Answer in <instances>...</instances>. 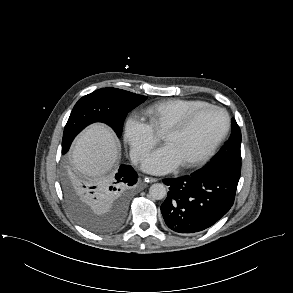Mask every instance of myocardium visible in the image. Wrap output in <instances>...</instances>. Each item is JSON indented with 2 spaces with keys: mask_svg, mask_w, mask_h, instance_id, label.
<instances>
[{
  "mask_svg": "<svg viewBox=\"0 0 293 293\" xmlns=\"http://www.w3.org/2000/svg\"><path fill=\"white\" fill-rule=\"evenodd\" d=\"M217 110L221 112L224 117H225V127L222 133L218 136V138L210 145V147L200 156L197 158L186 162L182 163L181 166L186 169L190 168H195L197 166L202 165L205 163L207 160H209L213 154L216 152V150L219 148V146L222 144V142L225 140L227 137L230 128H231V118L229 113L222 107L213 105V104H206L204 106H201L189 113H187L185 116H183L180 120L176 121L172 125H170L163 133V135H169V134H178L183 132L189 125L190 123L202 112L206 110ZM165 140V138H163Z\"/></svg>",
  "mask_w": 293,
  "mask_h": 293,
  "instance_id": "1",
  "label": "myocardium"
}]
</instances>
